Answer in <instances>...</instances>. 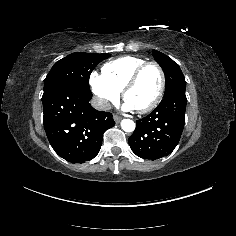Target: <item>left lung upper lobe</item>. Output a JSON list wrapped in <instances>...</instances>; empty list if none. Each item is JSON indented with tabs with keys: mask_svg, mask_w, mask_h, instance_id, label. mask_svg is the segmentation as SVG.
<instances>
[{
	"mask_svg": "<svg viewBox=\"0 0 236 236\" xmlns=\"http://www.w3.org/2000/svg\"><path fill=\"white\" fill-rule=\"evenodd\" d=\"M152 53L165 73L166 88L164 95L176 89H186L184 75L177 63L157 50H153Z\"/></svg>",
	"mask_w": 236,
	"mask_h": 236,
	"instance_id": "obj_1",
	"label": "left lung upper lobe"
}]
</instances>
